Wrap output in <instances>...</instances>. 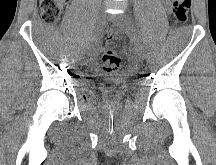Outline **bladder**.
Segmentation results:
<instances>
[{"instance_id":"31cf9c89","label":"bladder","mask_w":216,"mask_h":165,"mask_svg":"<svg viewBox=\"0 0 216 165\" xmlns=\"http://www.w3.org/2000/svg\"><path fill=\"white\" fill-rule=\"evenodd\" d=\"M128 80V76H94L96 86L95 89L90 90V93L99 94V97H106L107 100L123 97L126 91H122L121 86H126ZM110 86H113V89H110Z\"/></svg>"}]
</instances>
